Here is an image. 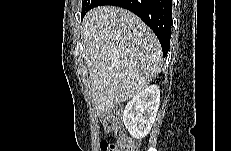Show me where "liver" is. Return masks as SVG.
Returning <instances> with one entry per match:
<instances>
[{
  "mask_svg": "<svg viewBox=\"0 0 231 151\" xmlns=\"http://www.w3.org/2000/svg\"><path fill=\"white\" fill-rule=\"evenodd\" d=\"M80 34L98 115L135 97L161 71L162 50L157 37L126 9H91Z\"/></svg>",
  "mask_w": 231,
  "mask_h": 151,
  "instance_id": "obj_1",
  "label": "liver"
}]
</instances>
